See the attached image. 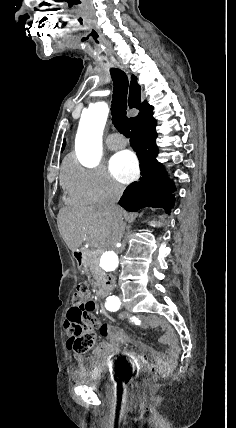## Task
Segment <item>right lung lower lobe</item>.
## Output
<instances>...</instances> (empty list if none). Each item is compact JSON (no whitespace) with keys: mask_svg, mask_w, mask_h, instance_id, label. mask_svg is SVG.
Listing matches in <instances>:
<instances>
[{"mask_svg":"<svg viewBox=\"0 0 236 428\" xmlns=\"http://www.w3.org/2000/svg\"><path fill=\"white\" fill-rule=\"evenodd\" d=\"M156 120L152 113L137 121L132 127L131 146L140 161L142 179L130 184L123 193L119 205L128 211L144 207H160L170 213L174 207L176 189L167 178V172L156 160Z\"/></svg>","mask_w":236,"mask_h":428,"instance_id":"right-lung-lower-lobe-1","label":"right lung lower lobe"}]
</instances>
